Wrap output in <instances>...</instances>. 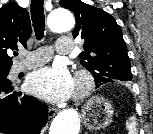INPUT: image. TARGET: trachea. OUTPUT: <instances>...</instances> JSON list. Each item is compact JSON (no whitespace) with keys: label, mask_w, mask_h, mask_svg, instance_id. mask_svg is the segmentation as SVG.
Returning a JSON list of instances; mask_svg holds the SVG:
<instances>
[{"label":"trachea","mask_w":153,"mask_h":134,"mask_svg":"<svg viewBox=\"0 0 153 134\" xmlns=\"http://www.w3.org/2000/svg\"><path fill=\"white\" fill-rule=\"evenodd\" d=\"M44 0H31V19L37 40H41L45 31Z\"/></svg>","instance_id":"3493384b"}]
</instances>
